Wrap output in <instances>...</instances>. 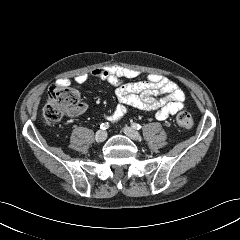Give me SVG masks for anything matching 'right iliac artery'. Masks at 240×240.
I'll return each instance as SVG.
<instances>
[{
  "label": "right iliac artery",
  "mask_w": 240,
  "mask_h": 240,
  "mask_svg": "<svg viewBox=\"0 0 240 240\" xmlns=\"http://www.w3.org/2000/svg\"><path fill=\"white\" fill-rule=\"evenodd\" d=\"M107 128H109V123H108V122L102 123V124L100 125V129H102V130H106Z\"/></svg>",
  "instance_id": "obj_1"
}]
</instances>
